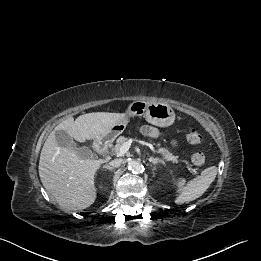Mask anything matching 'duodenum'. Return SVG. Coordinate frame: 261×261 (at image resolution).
I'll return each mask as SVG.
<instances>
[{"instance_id":"1","label":"duodenum","mask_w":261,"mask_h":261,"mask_svg":"<svg viewBox=\"0 0 261 261\" xmlns=\"http://www.w3.org/2000/svg\"><path fill=\"white\" fill-rule=\"evenodd\" d=\"M108 143L106 141H97L94 144V150L100 155H104L107 151Z\"/></svg>"}]
</instances>
